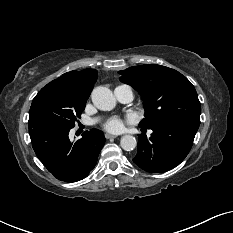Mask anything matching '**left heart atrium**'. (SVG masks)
<instances>
[{"mask_svg": "<svg viewBox=\"0 0 233 233\" xmlns=\"http://www.w3.org/2000/svg\"><path fill=\"white\" fill-rule=\"evenodd\" d=\"M124 123L123 120L119 117L110 118L105 124L104 127L111 132H119L123 129Z\"/></svg>", "mask_w": 233, "mask_h": 233, "instance_id": "1", "label": "left heart atrium"}]
</instances>
